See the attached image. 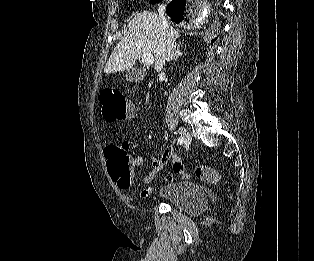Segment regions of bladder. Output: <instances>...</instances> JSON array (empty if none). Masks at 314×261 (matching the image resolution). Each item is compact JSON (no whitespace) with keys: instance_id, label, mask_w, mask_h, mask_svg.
<instances>
[{"instance_id":"bladder-1","label":"bladder","mask_w":314,"mask_h":261,"mask_svg":"<svg viewBox=\"0 0 314 261\" xmlns=\"http://www.w3.org/2000/svg\"><path fill=\"white\" fill-rule=\"evenodd\" d=\"M159 198L189 215H197L207 207L204 188L192 182L169 184L159 192Z\"/></svg>"}]
</instances>
